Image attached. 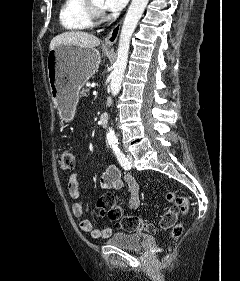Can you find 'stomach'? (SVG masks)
<instances>
[{
	"mask_svg": "<svg viewBox=\"0 0 240 281\" xmlns=\"http://www.w3.org/2000/svg\"><path fill=\"white\" fill-rule=\"evenodd\" d=\"M100 61V53L94 47L60 44L49 51L47 74L51 98L65 119L74 115L79 91L97 71Z\"/></svg>",
	"mask_w": 240,
	"mask_h": 281,
	"instance_id": "0dacf381",
	"label": "stomach"
}]
</instances>
